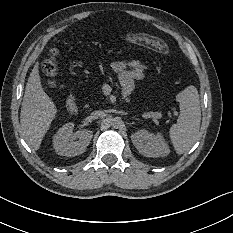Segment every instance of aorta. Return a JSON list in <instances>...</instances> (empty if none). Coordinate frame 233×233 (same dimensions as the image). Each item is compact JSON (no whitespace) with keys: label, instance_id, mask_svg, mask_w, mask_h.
Wrapping results in <instances>:
<instances>
[{"label":"aorta","instance_id":"762f6f07","mask_svg":"<svg viewBox=\"0 0 233 233\" xmlns=\"http://www.w3.org/2000/svg\"><path fill=\"white\" fill-rule=\"evenodd\" d=\"M111 124H112V126L116 127V125L118 124V122L115 119H112Z\"/></svg>","mask_w":233,"mask_h":233}]
</instances>
